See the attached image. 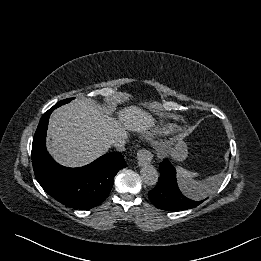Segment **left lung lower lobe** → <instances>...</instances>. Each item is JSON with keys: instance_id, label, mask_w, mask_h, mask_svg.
<instances>
[{"instance_id": "obj_1", "label": "left lung lower lobe", "mask_w": 261, "mask_h": 261, "mask_svg": "<svg viewBox=\"0 0 261 261\" xmlns=\"http://www.w3.org/2000/svg\"><path fill=\"white\" fill-rule=\"evenodd\" d=\"M159 172L157 185L148 193L155 207L167 211H178L194 208L203 202L192 198V195H195L193 191L179 187L176 170L167 159L160 163ZM206 191L200 190L199 194L202 196Z\"/></svg>"}]
</instances>
